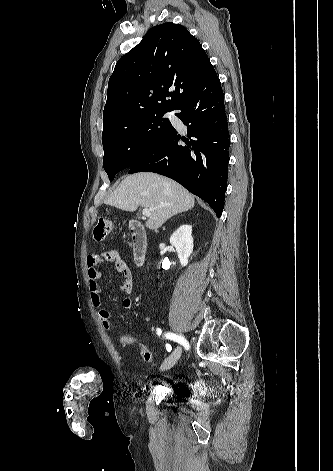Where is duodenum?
<instances>
[{
    "label": "duodenum",
    "instance_id": "obj_1",
    "mask_svg": "<svg viewBox=\"0 0 333 471\" xmlns=\"http://www.w3.org/2000/svg\"><path fill=\"white\" fill-rule=\"evenodd\" d=\"M129 229L132 236L134 261L138 266H142L145 263L148 246L146 231L144 227L135 220L130 222Z\"/></svg>",
    "mask_w": 333,
    "mask_h": 471
}]
</instances>
